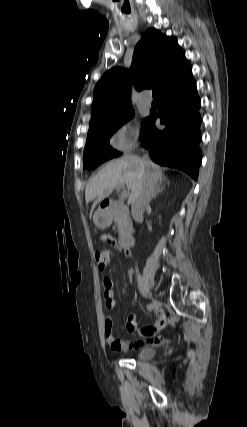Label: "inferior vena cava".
I'll return each instance as SVG.
<instances>
[{
	"instance_id": "1",
	"label": "inferior vena cava",
	"mask_w": 247,
	"mask_h": 427,
	"mask_svg": "<svg viewBox=\"0 0 247 427\" xmlns=\"http://www.w3.org/2000/svg\"><path fill=\"white\" fill-rule=\"evenodd\" d=\"M142 160L146 167V172L142 187L132 201L131 213L134 220L142 218L144 210L149 205L157 187L155 176L148 170V166L151 162L149 157L144 155Z\"/></svg>"
}]
</instances>
